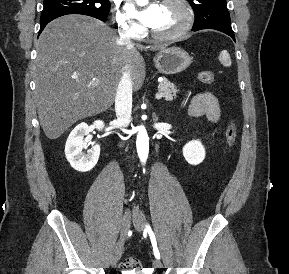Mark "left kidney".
<instances>
[{"mask_svg": "<svg viewBox=\"0 0 289 274\" xmlns=\"http://www.w3.org/2000/svg\"><path fill=\"white\" fill-rule=\"evenodd\" d=\"M205 154V148L199 140L190 141L183 147V156L191 165L203 162Z\"/></svg>", "mask_w": 289, "mask_h": 274, "instance_id": "1", "label": "left kidney"}]
</instances>
